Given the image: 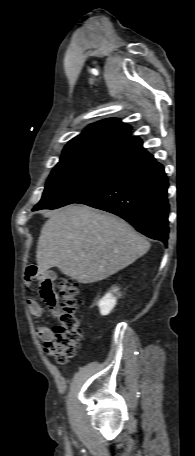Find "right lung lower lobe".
<instances>
[{
	"label": "right lung lower lobe",
	"mask_w": 195,
	"mask_h": 456,
	"mask_svg": "<svg viewBox=\"0 0 195 456\" xmlns=\"http://www.w3.org/2000/svg\"><path fill=\"white\" fill-rule=\"evenodd\" d=\"M167 189L164 167L150 155L123 169L106 185L76 203L118 215L142 234L166 244Z\"/></svg>",
	"instance_id": "right-lung-lower-lobe-1"
}]
</instances>
